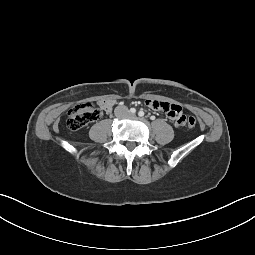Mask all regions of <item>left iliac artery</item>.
<instances>
[{
  "label": "left iliac artery",
  "instance_id": "obj_1",
  "mask_svg": "<svg viewBox=\"0 0 255 255\" xmlns=\"http://www.w3.org/2000/svg\"><path fill=\"white\" fill-rule=\"evenodd\" d=\"M144 111H142V110H140L139 112H138V115L140 116V117H143L144 116Z\"/></svg>",
  "mask_w": 255,
  "mask_h": 255
}]
</instances>
